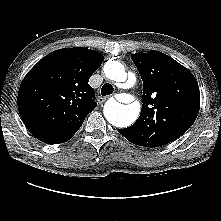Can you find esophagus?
I'll list each match as a JSON object with an SVG mask.
<instances>
[{"instance_id":"obj_1","label":"esophagus","mask_w":221,"mask_h":221,"mask_svg":"<svg viewBox=\"0 0 221 221\" xmlns=\"http://www.w3.org/2000/svg\"><path fill=\"white\" fill-rule=\"evenodd\" d=\"M106 100H107V97H99L97 99L98 103H100V104L104 103Z\"/></svg>"}]
</instances>
